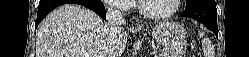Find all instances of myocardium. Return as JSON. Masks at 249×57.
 Listing matches in <instances>:
<instances>
[{"instance_id":"obj_1","label":"myocardium","mask_w":249,"mask_h":57,"mask_svg":"<svg viewBox=\"0 0 249 57\" xmlns=\"http://www.w3.org/2000/svg\"><path fill=\"white\" fill-rule=\"evenodd\" d=\"M180 4L181 0H174V7L170 11L161 14H152L145 10L143 0L137 1L138 11L140 15L149 20H164L170 18L178 12Z\"/></svg>"}]
</instances>
